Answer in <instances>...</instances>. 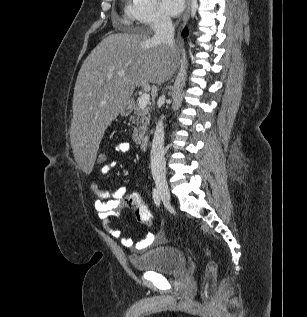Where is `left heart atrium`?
<instances>
[{
	"mask_svg": "<svg viewBox=\"0 0 307 317\" xmlns=\"http://www.w3.org/2000/svg\"><path fill=\"white\" fill-rule=\"evenodd\" d=\"M185 0H160L163 12L169 16L178 15L184 8Z\"/></svg>",
	"mask_w": 307,
	"mask_h": 317,
	"instance_id": "left-heart-atrium-1",
	"label": "left heart atrium"
}]
</instances>
